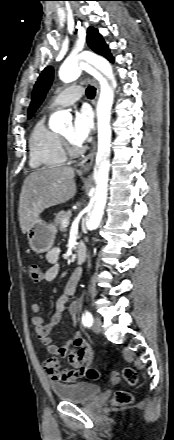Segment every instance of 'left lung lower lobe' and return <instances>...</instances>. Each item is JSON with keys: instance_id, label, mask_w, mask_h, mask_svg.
<instances>
[{"instance_id": "obj_1", "label": "left lung lower lobe", "mask_w": 174, "mask_h": 440, "mask_svg": "<svg viewBox=\"0 0 174 440\" xmlns=\"http://www.w3.org/2000/svg\"><path fill=\"white\" fill-rule=\"evenodd\" d=\"M109 60H110L111 62H114V58H113V57H111Z\"/></svg>"}]
</instances>
